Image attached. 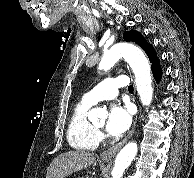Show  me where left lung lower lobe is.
I'll return each instance as SVG.
<instances>
[{
  "label": "left lung lower lobe",
  "instance_id": "left-lung-lower-lobe-1",
  "mask_svg": "<svg viewBox=\"0 0 194 178\" xmlns=\"http://www.w3.org/2000/svg\"><path fill=\"white\" fill-rule=\"evenodd\" d=\"M152 73H153V76H154L155 80L157 82H159L160 78H161V75H162V71H161V68H160L159 60H157L156 62H154L152 64Z\"/></svg>",
  "mask_w": 194,
  "mask_h": 178
}]
</instances>
